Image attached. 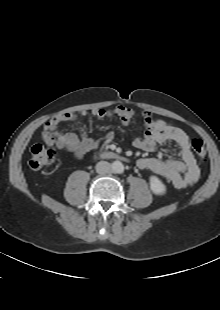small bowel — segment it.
Here are the masks:
<instances>
[{
	"label": "small bowel",
	"instance_id": "obj_1",
	"mask_svg": "<svg viewBox=\"0 0 220 310\" xmlns=\"http://www.w3.org/2000/svg\"><path fill=\"white\" fill-rule=\"evenodd\" d=\"M92 114L98 119L118 117L120 122L126 125L136 113L134 109L120 105L113 109H95ZM86 115V111H79L66 112L52 117L41 130V139L48 146H56L71 153L76 159H81L86 154L97 150L101 142L113 140L114 133L112 131L108 132L101 141L90 137L84 128L80 129V136L71 132H58L57 129L61 122L73 121L78 116L84 117ZM141 116L146 128L143 137L135 141V146L144 151H152L158 143L172 141L180 149V159L143 158L138 161L139 168L150 170L164 177L175 188L182 189L195 184L199 179L200 169L192 151L189 135L170 122L155 119L148 110H142Z\"/></svg>",
	"mask_w": 220,
	"mask_h": 310
}]
</instances>
